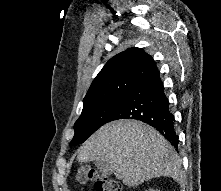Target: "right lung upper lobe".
<instances>
[{"label": "right lung upper lobe", "mask_w": 221, "mask_h": 191, "mask_svg": "<svg viewBox=\"0 0 221 191\" xmlns=\"http://www.w3.org/2000/svg\"><path fill=\"white\" fill-rule=\"evenodd\" d=\"M158 72L152 57L140 48H129L111 58L93 80L83 107L124 97L133 87Z\"/></svg>", "instance_id": "right-lung-upper-lobe-1"}]
</instances>
